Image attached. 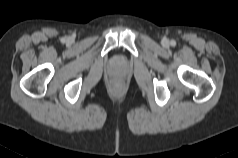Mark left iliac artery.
Returning <instances> with one entry per match:
<instances>
[{"instance_id":"left-iliac-artery-1","label":"left iliac artery","mask_w":238,"mask_h":158,"mask_svg":"<svg viewBox=\"0 0 238 158\" xmlns=\"http://www.w3.org/2000/svg\"><path fill=\"white\" fill-rule=\"evenodd\" d=\"M170 44H171L172 46H175V45H176L175 40H171Z\"/></svg>"}]
</instances>
